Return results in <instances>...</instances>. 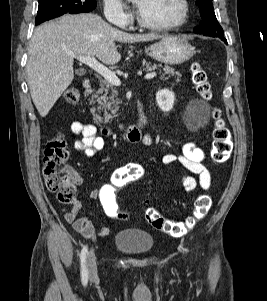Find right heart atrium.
<instances>
[{
  "label": "right heart atrium",
  "instance_id": "1",
  "mask_svg": "<svg viewBox=\"0 0 267 301\" xmlns=\"http://www.w3.org/2000/svg\"><path fill=\"white\" fill-rule=\"evenodd\" d=\"M103 4L106 19L122 26L129 24L131 16L120 0H103Z\"/></svg>",
  "mask_w": 267,
  "mask_h": 301
}]
</instances>
